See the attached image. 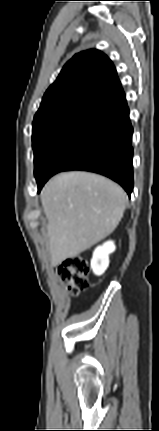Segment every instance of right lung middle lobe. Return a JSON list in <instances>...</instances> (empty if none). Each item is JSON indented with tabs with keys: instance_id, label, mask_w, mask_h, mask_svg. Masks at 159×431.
Listing matches in <instances>:
<instances>
[{
	"instance_id": "obj_1",
	"label": "right lung middle lobe",
	"mask_w": 159,
	"mask_h": 431,
	"mask_svg": "<svg viewBox=\"0 0 159 431\" xmlns=\"http://www.w3.org/2000/svg\"><path fill=\"white\" fill-rule=\"evenodd\" d=\"M86 119L71 115H52L33 121L35 177H38L52 150Z\"/></svg>"
}]
</instances>
